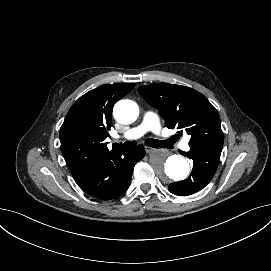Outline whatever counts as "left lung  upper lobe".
I'll use <instances>...</instances> for the list:
<instances>
[{
    "label": "left lung upper lobe",
    "mask_w": 271,
    "mask_h": 271,
    "mask_svg": "<svg viewBox=\"0 0 271 271\" xmlns=\"http://www.w3.org/2000/svg\"><path fill=\"white\" fill-rule=\"evenodd\" d=\"M139 94L152 107L157 108L168 128L186 130L191 135V148L205 147L220 155L224 142L217 110L198 91L168 83L145 85Z\"/></svg>",
    "instance_id": "5c2ea615"
}]
</instances>
